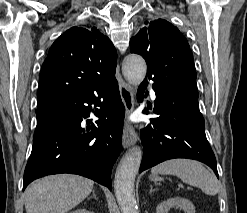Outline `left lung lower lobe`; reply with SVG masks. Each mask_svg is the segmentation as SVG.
Here are the masks:
<instances>
[{"instance_id":"0a47b994","label":"left lung lower lobe","mask_w":247,"mask_h":213,"mask_svg":"<svg viewBox=\"0 0 247 213\" xmlns=\"http://www.w3.org/2000/svg\"><path fill=\"white\" fill-rule=\"evenodd\" d=\"M146 88L147 80L139 86V101ZM153 89L156 94L153 112L158 117L151 118V124L141 129L143 158L139 172L165 160L188 158L207 164L218 177L216 158L205 135L198 98L183 89H162L154 84ZM143 113L149 112L145 109Z\"/></svg>"}]
</instances>
